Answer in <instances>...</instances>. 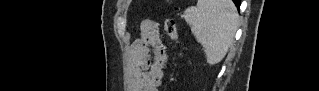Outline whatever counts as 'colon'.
I'll return each mask as SVG.
<instances>
[{"instance_id":"5ec220e1","label":"colon","mask_w":319,"mask_h":91,"mask_svg":"<svg viewBox=\"0 0 319 91\" xmlns=\"http://www.w3.org/2000/svg\"><path fill=\"white\" fill-rule=\"evenodd\" d=\"M164 26H165V31H166L167 35L169 36V38L172 41H175L177 38V28H176L175 20L173 18H170V17L167 18L165 20Z\"/></svg>"}]
</instances>
